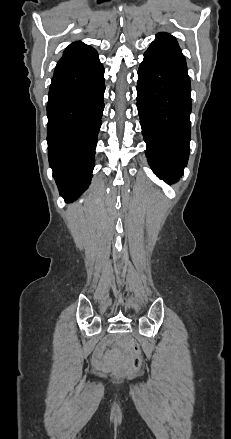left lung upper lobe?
<instances>
[{
  "instance_id": "1",
  "label": "left lung upper lobe",
  "mask_w": 231,
  "mask_h": 439,
  "mask_svg": "<svg viewBox=\"0 0 231 439\" xmlns=\"http://www.w3.org/2000/svg\"><path fill=\"white\" fill-rule=\"evenodd\" d=\"M150 47L183 55L175 37L166 32L158 33Z\"/></svg>"
}]
</instances>
